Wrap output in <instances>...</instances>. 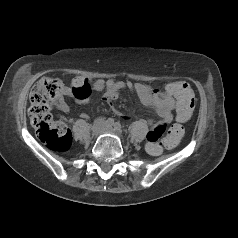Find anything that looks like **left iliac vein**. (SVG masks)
I'll return each mask as SVG.
<instances>
[{
    "label": "left iliac vein",
    "mask_w": 238,
    "mask_h": 238,
    "mask_svg": "<svg viewBox=\"0 0 238 238\" xmlns=\"http://www.w3.org/2000/svg\"><path fill=\"white\" fill-rule=\"evenodd\" d=\"M106 132H109V133H114L115 132V129H113L112 127H106L105 129Z\"/></svg>",
    "instance_id": "4c4485c4"
}]
</instances>
